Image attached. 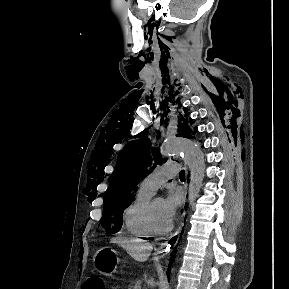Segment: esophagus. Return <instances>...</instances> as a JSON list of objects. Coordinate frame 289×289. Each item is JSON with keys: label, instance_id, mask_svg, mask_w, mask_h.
<instances>
[{"label": "esophagus", "instance_id": "obj_1", "mask_svg": "<svg viewBox=\"0 0 289 289\" xmlns=\"http://www.w3.org/2000/svg\"><path fill=\"white\" fill-rule=\"evenodd\" d=\"M187 187H188V171H186V182L184 184L183 208L185 207L186 203ZM184 216L185 210H183L182 219L176 232L173 233L166 241L161 243L157 248V254L159 256H164L170 250V248L174 247L178 243L184 225Z\"/></svg>", "mask_w": 289, "mask_h": 289}]
</instances>
